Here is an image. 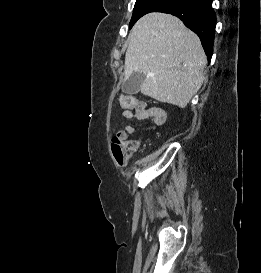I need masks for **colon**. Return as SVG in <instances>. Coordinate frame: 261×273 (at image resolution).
<instances>
[{"label":"colon","mask_w":261,"mask_h":273,"mask_svg":"<svg viewBox=\"0 0 261 273\" xmlns=\"http://www.w3.org/2000/svg\"><path fill=\"white\" fill-rule=\"evenodd\" d=\"M120 104L124 108L133 110L136 114L143 113V104L132 95H124L120 98ZM136 141H126L125 134L120 132L114 135L111 142V150L115 162L119 166H123L130 154L137 148Z\"/></svg>","instance_id":"obj_1"}]
</instances>
